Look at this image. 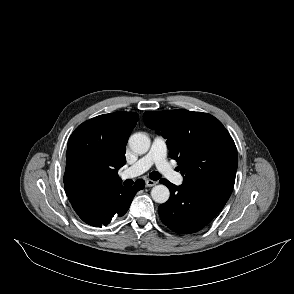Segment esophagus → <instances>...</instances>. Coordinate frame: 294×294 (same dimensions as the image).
I'll use <instances>...</instances> for the list:
<instances>
[{
    "label": "esophagus",
    "instance_id": "34e87169",
    "mask_svg": "<svg viewBox=\"0 0 294 294\" xmlns=\"http://www.w3.org/2000/svg\"><path fill=\"white\" fill-rule=\"evenodd\" d=\"M145 184H146L147 187H152V186L156 185V182L151 180V179H147L145 181Z\"/></svg>",
    "mask_w": 294,
    "mask_h": 294
}]
</instances>
